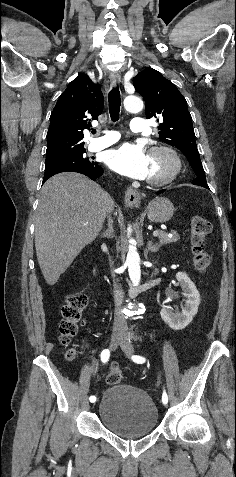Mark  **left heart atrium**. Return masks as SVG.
<instances>
[{
  "mask_svg": "<svg viewBox=\"0 0 236 477\" xmlns=\"http://www.w3.org/2000/svg\"><path fill=\"white\" fill-rule=\"evenodd\" d=\"M106 163L116 172L134 179H145L149 173V155L140 144L124 143L109 150Z\"/></svg>",
  "mask_w": 236,
  "mask_h": 477,
  "instance_id": "obj_1",
  "label": "left heart atrium"
}]
</instances>
